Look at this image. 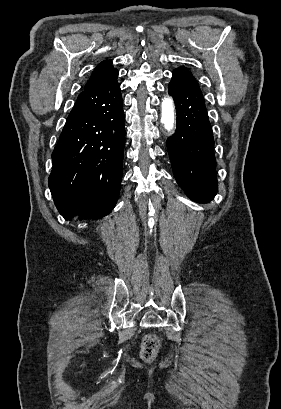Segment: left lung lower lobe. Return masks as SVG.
<instances>
[{
	"instance_id": "left-lung-lower-lobe-1",
	"label": "left lung lower lobe",
	"mask_w": 281,
	"mask_h": 409,
	"mask_svg": "<svg viewBox=\"0 0 281 409\" xmlns=\"http://www.w3.org/2000/svg\"><path fill=\"white\" fill-rule=\"evenodd\" d=\"M168 90L177 114L176 131L167 139L174 176L190 199L209 202L217 192L216 160L201 90L195 78L181 69L173 71Z\"/></svg>"
}]
</instances>
